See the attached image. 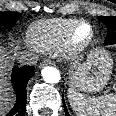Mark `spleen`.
<instances>
[{"instance_id": "spleen-1", "label": "spleen", "mask_w": 116, "mask_h": 116, "mask_svg": "<svg viewBox=\"0 0 116 116\" xmlns=\"http://www.w3.org/2000/svg\"><path fill=\"white\" fill-rule=\"evenodd\" d=\"M68 99L77 116H116V94L86 97L70 88Z\"/></svg>"}]
</instances>
